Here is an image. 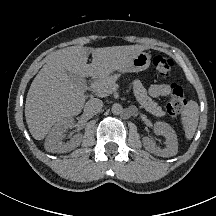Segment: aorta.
Returning a JSON list of instances; mask_svg holds the SVG:
<instances>
[{
  "label": "aorta",
  "instance_id": "762f6f07",
  "mask_svg": "<svg viewBox=\"0 0 216 216\" xmlns=\"http://www.w3.org/2000/svg\"><path fill=\"white\" fill-rule=\"evenodd\" d=\"M111 111H112L113 114L119 115V114L122 113L123 108H122L121 104L115 103V104L112 105Z\"/></svg>",
  "mask_w": 216,
  "mask_h": 216
}]
</instances>
